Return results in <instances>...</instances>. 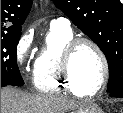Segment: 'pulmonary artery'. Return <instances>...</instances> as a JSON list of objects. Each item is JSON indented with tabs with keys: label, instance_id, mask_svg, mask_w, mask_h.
<instances>
[{
	"label": "pulmonary artery",
	"instance_id": "obj_1",
	"mask_svg": "<svg viewBox=\"0 0 123 113\" xmlns=\"http://www.w3.org/2000/svg\"><path fill=\"white\" fill-rule=\"evenodd\" d=\"M50 27L69 29L70 21L66 18H57L50 22Z\"/></svg>",
	"mask_w": 123,
	"mask_h": 113
}]
</instances>
